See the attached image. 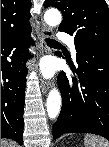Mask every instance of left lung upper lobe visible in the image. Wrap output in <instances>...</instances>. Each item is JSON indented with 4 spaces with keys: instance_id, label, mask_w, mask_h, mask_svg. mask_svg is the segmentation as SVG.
<instances>
[{
    "instance_id": "5c2ea615",
    "label": "left lung upper lobe",
    "mask_w": 109,
    "mask_h": 147,
    "mask_svg": "<svg viewBox=\"0 0 109 147\" xmlns=\"http://www.w3.org/2000/svg\"><path fill=\"white\" fill-rule=\"evenodd\" d=\"M63 14L59 30L76 40L109 49V8L105 0H46Z\"/></svg>"
}]
</instances>
